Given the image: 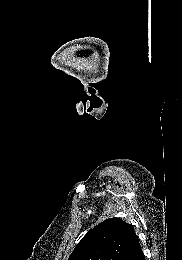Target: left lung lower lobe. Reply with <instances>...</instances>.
I'll use <instances>...</instances> for the list:
<instances>
[{"instance_id": "obj_1", "label": "left lung lower lobe", "mask_w": 182, "mask_h": 260, "mask_svg": "<svg viewBox=\"0 0 182 260\" xmlns=\"http://www.w3.org/2000/svg\"><path fill=\"white\" fill-rule=\"evenodd\" d=\"M122 260H145L139 239L136 240Z\"/></svg>"}]
</instances>
